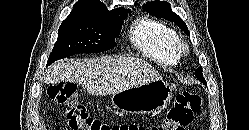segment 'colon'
<instances>
[{
	"label": "colon",
	"instance_id": "colon-1",
	"mask_svg": "<svg viewBox=\"0 0 249 130\" xmlns=\"http://www.w3.org/2000/svg\"><path fill=\"white\" fill-rule=\"evenodd\" d=\"M49 98L65 110L71 130H185L202 105L201 97L190 91L180 92L162 122L149 127L134 124H107L92 117L79 101L77 87L63 82L48 88Z\"/></svg>",
	"mask_w": 249,
	"mask_h": 130
}]
</instances>
